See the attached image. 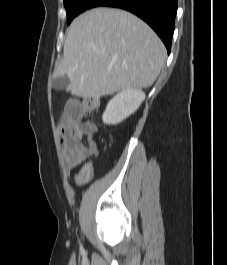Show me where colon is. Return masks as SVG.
<instances>
[{
    "label": "colon",
    "instance_id": "colon-1",
    "mask_svg": "<svg viewBox=\"0 0 227 265\" xmlns=\"http://www.w3.org/2000/svg\"><path fill=\"white\" fill-rule=\"evenodd\" d=\"M83 105V112L85 114H90L93 111H95L99 105H100V100L98 98H87L82 101ZM64 127H65V121H61L58 125V135L60 138V141L62 142L63 140V135H64Z\"/></svg>",
    "mask_w": 227,
    "mask_h": 265
}]
</instances>
